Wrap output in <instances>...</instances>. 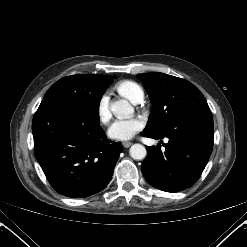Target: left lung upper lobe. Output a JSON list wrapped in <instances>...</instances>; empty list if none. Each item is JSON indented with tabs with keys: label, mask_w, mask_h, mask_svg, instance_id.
<instances>
[{
	"label": "left lung upper lobe",
	"mask_w": 247,
	"mask_h": 247,
	"mask_svg": "<svg viewBox=\"0 0 247 247\" xmlns=\"http://www.w3.org/2000/svg\"><path fill=\"white\" fill-rule=\"evenodd\" d=\"M137 77L154 105L144 131L162 133L194 115L211 114L203 94L189 81L164 73H144Z\"/></svg>",
	"instance_id": "1"
}]
</instances>
